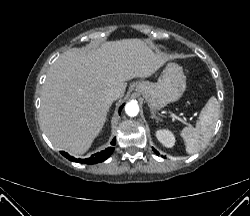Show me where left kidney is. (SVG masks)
<instances>
[{
    "mask_svg": "<svg viewBox=\"0 0 250 216\" xmlns=\"http://www.w3.org/2000/svg\"><path fill=\"white\" fill-rule=\"evenodd\" d=\"M156 137L165 147L171 148L175 144V137L169 130L160 129L156 131Z\"/></svg>",
    "mask_w": 250,
    "mask_h": 216,
    "instance_id": "5707ae66",
    "label": "left kidney"
}]
</instances>
